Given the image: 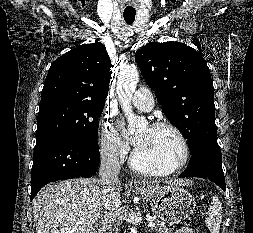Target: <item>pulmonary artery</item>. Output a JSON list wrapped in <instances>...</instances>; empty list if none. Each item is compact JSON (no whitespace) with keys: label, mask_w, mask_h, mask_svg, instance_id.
Wrapping results in <instances>:
<instances>
[{"label":"pulmonary artery","mask_w":253,"mask_h":233,"mask_svg":"<svg viewBox=\"0 0 253 233\" xmlns=\"http://www.w3.org/2000/svg\"><path fill=\"white\" fill-rule=\"evenodd\" d=\"M133 105L144 112H149L154 108V96L147 88L138 89L132 97Z\"/></svg>","instance_id":"pulmonary-artery-1"}]
</instances>
